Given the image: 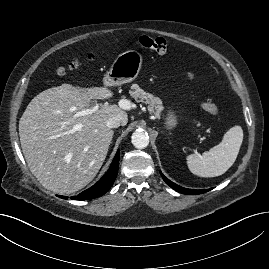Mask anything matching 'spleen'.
<instances>
[{
	"label": "spleen",
	"instance_id": "spleen-1",
	"mask_svg": "<svg viewBox=\"0 0 269 269\" xmlns=\"http://www.w3.org/2000/svg\"><path fill=\"white\" fill-rule=\"evenodd\" d=\"M243 141L240 125L231 127L222 141L202 155H189L187 164L190 171L201 177H216L224 174L235 162Z\"/></svg>",
	"mask_w": 269,
	"mask_h": 269
}]
</instances>
